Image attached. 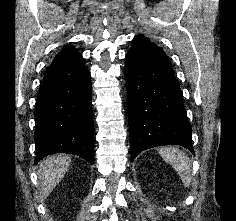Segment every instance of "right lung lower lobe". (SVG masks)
<instances>
[{"label": "right lung lower lobe", "instance_id": "1", "mask_svg": "<svg viewBox=\"0 0 236 221\" xmlns=\"http://www.w3.org/2000/svg\"><path fill=\"white\" fill-rule=\"evenodd\" d=\"M90 74L82 56L50 65L34 113L35 164L47 155L70 153L94 163Z\"/></svg>", "mask_w": 236, "mask_h": 221}]
</instances>
